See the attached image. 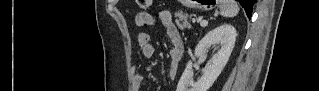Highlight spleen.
I'll return each mask as SVG.
<instances>
[{
    "instance_id": "3e777b00",
    "label": "spleen",
    "mask_w": 319,
    "mask_h": 91,
    "mask_svg": "<svg viewBox=\"0 0 319 91\" xmlns=\"http://www.w3.org/2000/svg\"><path fill=\"white\" fill-rule=\"evenodd\" d=\"M239 7L234 0L220 1V14L224 17H234L238 14Z\"/></svg>"
}]
</instances>
